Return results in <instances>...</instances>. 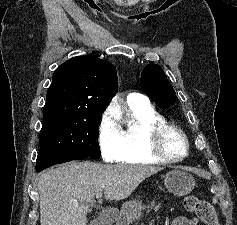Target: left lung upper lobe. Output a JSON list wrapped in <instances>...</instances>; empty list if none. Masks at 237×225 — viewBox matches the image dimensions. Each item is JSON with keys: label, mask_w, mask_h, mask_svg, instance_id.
<instances>
[{"label": "left lung upper lobe", "mask_w": 237, "mask_h": 225, "mask_svg": "<svg viewBox=\"0 0 237 225\" xmlns=\"http://www.w3.org/2000/svg\"><path fill=\"white\" fill-rule=\"evenodd\" d=\"M140 85L144 93L162 107H168L177 100L174 89L159 65L148 64L143 69Z\"/></svg>", "instance_id": "5c2ea615"}]
</instances>
